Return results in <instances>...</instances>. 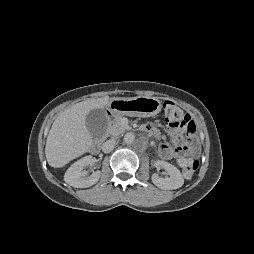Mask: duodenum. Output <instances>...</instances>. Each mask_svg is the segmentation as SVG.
<instances>
[{
  "label": "duodenum",
  "instance_id": "410a0bca",
  "mask_svg": "<svg viewBox=\"0 0 254 254\" xmlns=\"http://www.w3.org/2000/svg\"><path fill=\"white\" fill-rule=\"evenodd\" d=\"M115 116V113L114 112H108L107 114V117L109 119L113 118ZM90 152L91 154L93 155H96L100 152V143L99 142H94L92 145H91V148H90Z\"/></svg>",
  "mask_w": 254,
  "mask_h": 254
}]
</instances>
